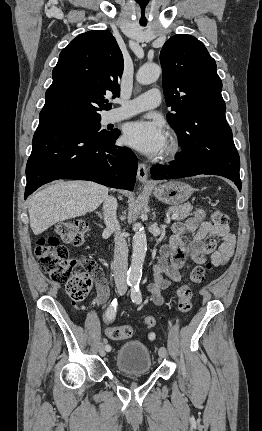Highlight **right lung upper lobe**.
Returning <instances> with one entry per match:
<instances>
[{
    "instance_id": "cb5924a9",
    "label": "right lung upper lobe",
    "mask_w": 262,
    "mask_h": 431,
    "mask_svg": "<svg viewBox=\"0 0 262 431\" xmlns=\"http://www.w3.org/2000/svg\"><path fill=\"white\" fill-rule=\"evenodd\" d=\"M122 73L123 55L109 31L78 35L59 55L40 123L99 117L101 110L111 108L106 96L120 95Z\"/></svg>"
}]
</instances>
